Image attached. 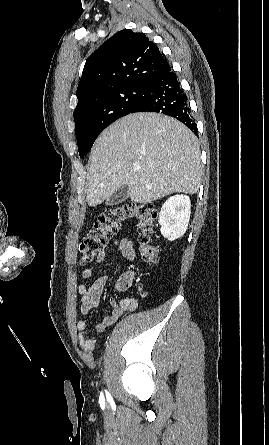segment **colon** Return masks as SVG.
<instances>
[{
  "mask_svg": "<svg viewBox=\"0 0 269 445\" xmlns=\"http://www.w3.org/2000/svg\"><path fill=\"white\" fill-rule=\"evenodd\" d=\"M134 219L140 229L139 242L143 259L152 262L157 257V248L152 239L157 226V210L149 202H129L108 208L101 212L93 229L82 240L79 246L80 263L85 266L97 259L108 241L118 232L122 224ZM129 281L118 284L120 289L129 286Z\"/></svg>",
  "mask_w": 269,
  "mask_h": 445,
  "instance_id": "obj_1",
  "label": "colon"
}]
</instances>
